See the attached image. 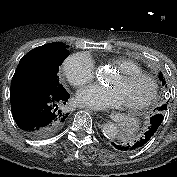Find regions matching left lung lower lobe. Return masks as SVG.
Segmentation results:
<instances>
[{
    "mask_svg": "<svg viewBox=\"0 0 177 177\" xmlns=\"http://www.w3.org/2000/svg\"><path fill=\"white\" fill-rule=\"evenodd\" d=\"M159 109L160 107L157 108L155 115L151 117L150 124L147 131L137 141L134 142L114 141L111 143L113 147L122 152H131L143 147L156 133L157 129L159 128V126L163 121V115H162L163 113L161 112L162 110Z\"/></svg>",
    "mask_w": 177,
    "mask_h": 177,
    "instance_id": "left-lung-lower-lobe-1",
    "label": "left lung lower lobe"
}]
</instances>
